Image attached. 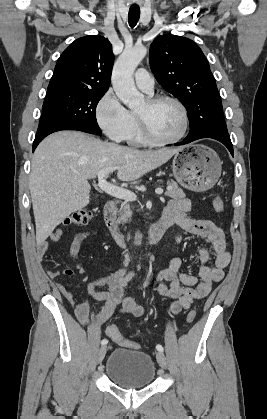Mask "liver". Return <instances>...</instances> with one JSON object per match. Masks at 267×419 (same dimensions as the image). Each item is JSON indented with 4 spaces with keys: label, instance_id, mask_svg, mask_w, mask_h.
<instances>
[{
    "label": "liver",
    "instance_id": "liver-1",
    "mask_svg": "<svg viewBox=\"0 0 267 419\" xmlns=\"http://www.w3.org/2000/svg\"><path fill=\"white\" fill-rule=\"evenodd\" d=\"M180 148L138 150L77 131H59L36 148L29 178L36 241L42 244L71 213L90 202L89 179L105 168L134 181L166 163Z\"/></svg>",
    "mask_w": 267,
    "mask_h": 419
}]
</instances>
